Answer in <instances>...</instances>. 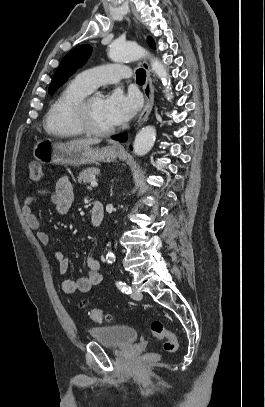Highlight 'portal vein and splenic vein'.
Listing matches in <instances>:
<instances>
[{"instance_id":"obj_1","label":"portal vein and splenic vein","mask_w":265,"mask_h":407,"mask_svg":"<svg viewBox=\"0 0 265 407\" xmlns=\"http://www.w3.org/2000/svg\"><path fill=\"white\" fill-rule=\"evenodd\" d=\"M98 185V183L96 182V180L91 181L90 186L91 187H96Z\"/></svg>"}]
</instances>
